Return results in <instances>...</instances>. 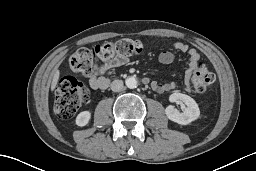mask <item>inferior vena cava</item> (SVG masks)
Listing matches in <instances>:
<instances>
[{"mask_svg":"<svg viewBox=\"0 0 256 171\" xmlns=\"http://www.w3.org/2000/svg\"><path fill=\"white\" fill-rule=\"evenodd\" d=\"M123 81L122 80H114L111 83V90L114 92H119L123 89Z\"/></svg>","mask_w":256,"mask_h":171,"instance_id":"1","label":"inferior vena cava"}]
</instances>
